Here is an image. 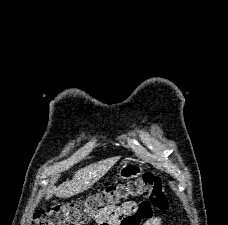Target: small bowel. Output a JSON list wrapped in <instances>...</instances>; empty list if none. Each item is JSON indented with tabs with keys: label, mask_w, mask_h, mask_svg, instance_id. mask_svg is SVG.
I'll use <instances>...</instances> for the list:
<instances>
[{
	"label": "small bowel",
	"mask_w": 228,
	"mask_h": 225,
	"mask_svg": "<svg viewBox=\"0 0 228 225\" xmlns=\"http://www.w3.org/2000/svg\"><path fill=\"white\" fill-rule=\"evenodd\" d=\"M141 204L126 201L120 206L105 209L96 219V225H162L163 216H153L152 204L149 199H141ZM136 212V213H135ZM121 217L122 222L120 221ZM149 218V219H145Z\"/></svg>",
	"instance_id": "obj_1"
}]
</instances>
